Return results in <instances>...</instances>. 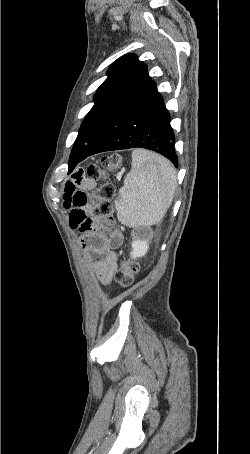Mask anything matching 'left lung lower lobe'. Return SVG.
Listing matches in <instances>:
<instances>
[{
  "label": "left lung lower lobe",
  "mask_w": 250,
  "mask_h": 454,
  "mask_svg": "<svg viewBox=\"0 0 250 454\" xmlns=\"http://www.w3.org/2000/svg\"><path fill=\"white\" fill-rule=\"evenodd\" d=\"M174 144L170 115L151 81L100 126L80 156H70L68 173L93 154L134 147L158 152L178 167Z\"/></svg>",
  "instance_id": "obj_1"
}]
</instances>
